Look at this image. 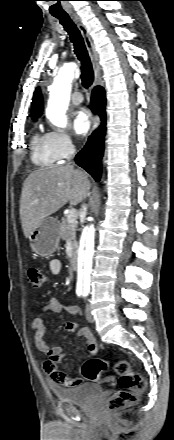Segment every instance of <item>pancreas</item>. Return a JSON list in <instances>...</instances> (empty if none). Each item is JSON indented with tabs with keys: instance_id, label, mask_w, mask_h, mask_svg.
Listing matches in <instances>:
<instances>
[{
	"instance_id": "1",
	"label": "pancreas",
	"mask_w": 174,
	"mask_h": 440,
	"mask_svg": "<svg viewBox=\"0 0 174 440\" xmlns=\"http://www.w3.org/2000/svg\"><path fill=\"white\" fill-rule=\"evenodd\" d=\"M76 229V221L74 223H68L67 218H62V221L59 224V234L63 240L71 242L73 252L77 248Z\"/></svg>"
}]
</instances>
